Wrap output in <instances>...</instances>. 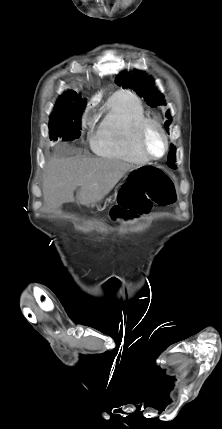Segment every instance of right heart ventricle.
Masks as SVG:
<instances>
[{
  "label": "right heart ventricle",
  "mask_w": 222,
  "mask_h": 429,
  "mask_svg": "<svg viewBox=\"0 0 222 429\" xmlns=\"http://www.w3.org/2000/svg\"><path fill=\"white\" fill-rule=\"evenodd\" d=\"M104 118L91 136L93 150L104 157L135 164L149 162L137 145V131L146 117L141 100L132 92L120 90L108 99Z\"/></svg>",
  "instance_id": "right-heart-ventricle-1"
}]
</instances>
